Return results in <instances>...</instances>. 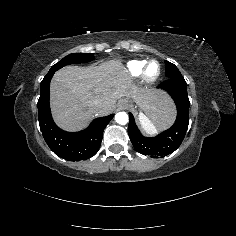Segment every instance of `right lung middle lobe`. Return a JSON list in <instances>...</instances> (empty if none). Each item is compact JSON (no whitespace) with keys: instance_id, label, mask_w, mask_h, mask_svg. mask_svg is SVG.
Returning <instances> with one entry per match:
<instances>
[{"instance_id":"obj_1","label":"right lung middle lobe","mask_w":236,"mask_h":236,"mask_svg":"<svg viewBox=\"0 0 236 236\" xmlns=\"http://www.w3.org/2000/svg\"><path fill=\"white\" fill-rule=\"evenodd\" d=\"M94 59V54L88 53H72L68 56L64 57L61 61H59L57 64L53 65L50 69V71H57L58 69L62 68L63 66L69 65V64H76V63H87Z\"/></svg>"}]
</instances>
